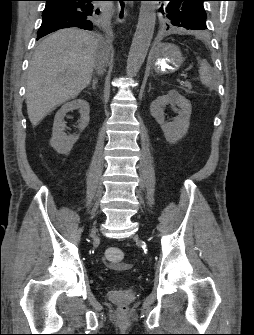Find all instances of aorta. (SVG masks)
I'll return each mask as SVG.
<instances>
[{
  "label": "aorta",
  "mask_w": 254,
  "mask_h": 335,
  "mask_svg": "<svg viewBox=\"0 0 254 335\" xmlns=\"http://www.w3.org/2000/svg\"><path fill=\"white\" fill-rule=\"evenodd\" d=\"M155 9L156 2H141L138 24L127 59L126 73L129 77L138 73L146 58L154 34Z\"/></svg>",
  "instance_id": "obj_1"
}]
</instances>
